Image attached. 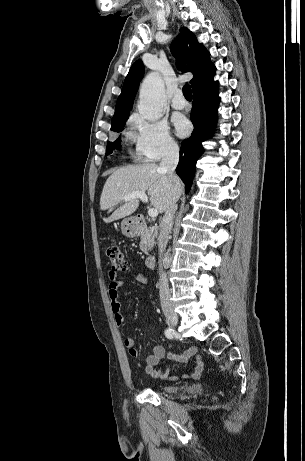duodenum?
I'll return each instance as SVG.
<instances>
[{
  "label": "duodenum",
  "mask_w": 305,
  "mask_h": 461,
  "mask_svg": "<svg viewBox=\"0 0 305 461\" xmlns=\"http://www.w3.org/2000/svg\"><path fill=\"white\" fill-rule=\"evenodd\" d=\"M134 223H135L136 228L139 231L144 230V228H145L144 219H141V218L135 219ZM155 261H156V259H155V256H153V255H150V256L146 257V259H145L146 267L149 268V269L153 268L154 265H155Z\"/></svg>",
  "instance_id": "obj_1"
}]
</instances>
